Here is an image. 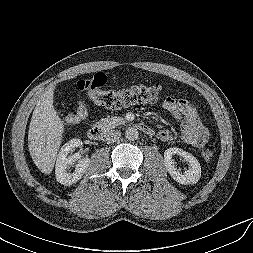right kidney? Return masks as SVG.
I'll use <instances>...</instances> for the list:
<instances>
[{"mask_svg": "<svg viewBox=\"0 0 253 253\" xmlns=\"http://www.w3.org/2000/svg\"><path fill=\"white\" fill-rule=\"evenodd\" d=\"M82 145V141L80 139H72L63 145L60 152L57 155L55 174L56 179L59 183L70 186L76 182H78L86 169L90 164L89 158H82L79 154L68 155L69 152L73 151L75 148H78ZM78 160L76 164L75 171L73 173H69L67 169L73 165Z\"/></svg>", "mask_w": 253, "mask_h": 253, "instance_id": "1", "label": "right kidney"}]
</instances>
